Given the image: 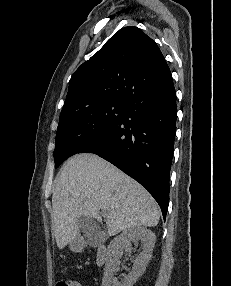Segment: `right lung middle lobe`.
Returning a JSON list of instances; mask_svg holds the SVG:
<instances>
[{"label": "right lung middle lobe", "mask_w": 231, "mask_h": 286, "mask_svg": "<svg viewBox=\"0 0 231 286\" xmlns=\"http://www.w3.org/2000/svg\"><path fill=\"white\" fill-rule=\"evenodd\" d=\"M124 113L123 101H106L60 117L54 150L55 168L101 136Z\"/></svg>", "instance_id": "dd1d6c3e"}]
</instances>
